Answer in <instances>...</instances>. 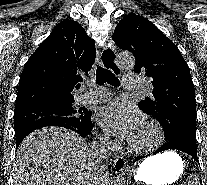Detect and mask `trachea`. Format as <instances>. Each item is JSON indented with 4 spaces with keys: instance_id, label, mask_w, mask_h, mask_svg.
Listing matches in <instances>:
<instances>
[{
    "instance_id": "3493384b",
    "label": "trachea",
    "mask_w": 207,
    "mask_h": 185,
    "mask_svg": "<svg viewBox=\"0 0 207 185\" xmlns=\"http://www.w3.org/2000/svg\"><path fill=\"white\" fill-rule=\"evenodd\" d=\"M110 53L113 58L114 55L111 52V50H104V52L102 53V59L104 62V65L106 66L104 57ZM108 66H106V68H102V67H98L96 70V83L98 85H103V83H110V85H113L114 87H117L119 85V80L118 78L115 77V75H113V73L110 70H107Z\"/></svg>"
}]
</instances>
